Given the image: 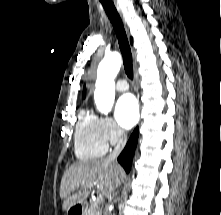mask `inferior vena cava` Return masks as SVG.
Masks as SVG:
<instances>
[{
    "mask_svg": "<svg viewBox=\"0 0 221 215\" xmlns=\"http://www.w3.org/2000/svg\"><path fill=\"white\" fill-rule=\"evenodd\" d=\"M126 142H127V135L123 130H120L118 142L114 147L113 152L108 156L107 160L108 161L116 160V158L119 156V154L125 147Z\"/></svg>",
    "mask_w": 221,
    "mask_h": 215,
    "instance_id": "inferior-vena-cava-1",
    "label": "inferior vena cava"
}]
</instances>
